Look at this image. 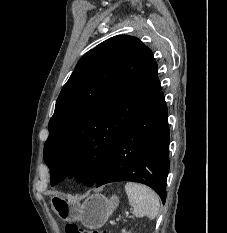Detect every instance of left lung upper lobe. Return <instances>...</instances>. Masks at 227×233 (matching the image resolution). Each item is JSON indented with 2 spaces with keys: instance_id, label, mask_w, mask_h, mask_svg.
Masks as SVG:
<instances>
[{
  "instance_id": "1",
  "label": "left lung upper lobe",
  "mask_w": 227,
  "mask_h": 233,
  "mask_svg": "<svg viewBox=\"0 0 227 233\" xmlns=\"http://www.w3.org/2000/svg\"><path fill=\"white\" fill-rule=\"evenodd\" d=\"M160 93L157 63L139 39H107L78 62L49 121L44 160L50 183L76 175L96 184L118 138Z\"/></svg>"
}]
</instances>
